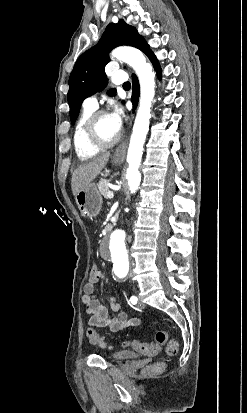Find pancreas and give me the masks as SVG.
Instances as JSON below:
<instances>
[{
	"instance_id": "pancreas-1",
	"label": "pancreas",
	"mask_w": 247,
	"mask_h": 413,
	"mask_svg": "<svg viewBox=\"0 0 247 413\" xmlns=\"http://www.w3.org/2000/svg\"><path fill=\"white\" fill-rule=\"evenodd\" d=\"M108 182H109V180H107V178H101V180H99V182L97 184V186L99 188V192H101V194H103V196H105V198H108V196H107V192L109 190Z\"/></svg>"
}]
</instances>
